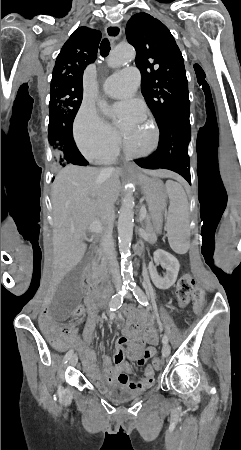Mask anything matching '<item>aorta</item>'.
I'll use <instances>...</instances> for the list:
<instances>
[{
	"label": "aorta",
	"mask_w": 241,
	"mask_h": 450,
	"mask_svg": "<svg viewBox=\"0 0 241 450\" xmlns=\"http://www.w3.org/2000/svg\"><path fill=\"white\" fill-rule=\"evenodd\" d=\"M135 50L129 44H121L116 46L109 55L107 60L108 66L116 68L127 64L135 58ZM98 105L100 109L107 114L108 104L105 100H99ZM134 198L132 196V189L128 188L118 217V246L121 253V273L123 281L126 284L132 282V265L129 262L131 255V240L133 237L134 226Z\"/></svg>",
	"instance_id": "aorta-1"
}]
</instances>
